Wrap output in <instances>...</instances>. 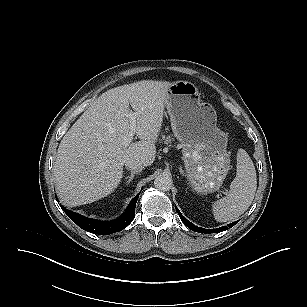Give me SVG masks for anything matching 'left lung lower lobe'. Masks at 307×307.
Listing matches in <instances>:
<instances>
[{
	"label": "left lung lower lobe",
	"mask_w": 307,
	"mask_h": 307,
	"mask_svg": "<svg viewBox=\"0 0 307 307\" xmlns=\"http://www.w3.org/2000/svg\"><path fill=\"white\" fill-rule=\"evenodd\" d=\"M176 208V211L177 213L179 214L182 222L189 228L191 229L192 231H195V232H199V233H219V232H222V231H225L227 230L228 228H231L233 227L238 221H235L233 223H230L228 224L227 226H223V227H220V228H216V229H204V228H201V227H198V226H195L194 224H192L191 222H189L184 216H182L181 212L179 211V209L177 207Z\"/></svg>",
	"instance_id": "obj_1"
}]
</instances>
